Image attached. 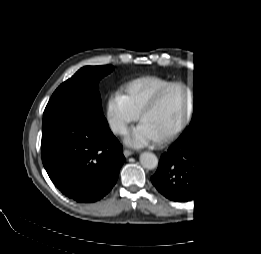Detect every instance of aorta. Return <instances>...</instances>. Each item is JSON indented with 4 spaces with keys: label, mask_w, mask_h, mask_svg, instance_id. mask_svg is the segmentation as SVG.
<instances>
[{
    "label": "aorta",
    "mask_w": 261,
    "mask_h": 254,
    "mask_svg": "<svg viewBox=\"0 0 261 254\" xmlns=\"http://www.w3.org/2000/svg\"><path fill=\"white\" fill-rule=\"evenodd\" d=\"M140 163L146 169H155L158 166V159L151 152H144L140 155Z\"/></svg>",
    "instance_id": "762f6f07"
}]
</instances>
